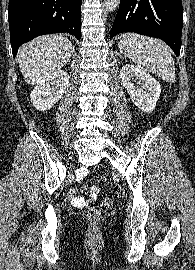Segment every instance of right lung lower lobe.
<instances>
[{
    "label": "right lung lower lobe",
    "mask_w": 195,
    "mask_h": 270,
    "mask_svg": "<svg viewBox=\"0 0 195 270\" xmlns=\"http://www.w3.org/2000/svg\"><path fill=\"white\" fill-rule=\"evenodd\" d=\"M82 0H9L12 53L33 38L67 32L81 38Z\"/></svg>",
    "instance_id": "98d812e1"
}]
</instances>
